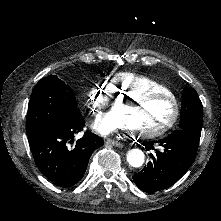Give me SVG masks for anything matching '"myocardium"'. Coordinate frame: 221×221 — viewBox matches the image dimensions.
Returning a JSON list of instances; mask_svg holds the SVG:
<instances>
[{
    "instance_id": "obj_1",
    "label": "myocardium",
    "mask_w": 221,
    "mask_h": 221,
    "mask_svg": "<svg viewBox=\"0 0 221 221\" xmlns=\"http://www.w3.org/2000/svg\"><path fill=\"white\" fill-rule=\"evenodd\" d=\"M157 100H162L165 102L167 105V110L169 112V115L167 119L163 120L162 123L160 124H147L144 128H140L135 130L134 135L137 138H156L159 136L160 133H164L167 131L169 128L172 127L174 122L178 119L179 117V111H178V105L177 103L174 102L173 97L166 95L162 92H154V91H149L145 95L141 94L138 97H134L132 100H130L129 105L131 106H142L146 105L149 103H153Z\"/></svg>"
}]
</instances>
